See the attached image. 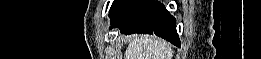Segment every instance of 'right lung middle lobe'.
<instances>
[{
    "label": "right lung middle lobe",
    "instance_id": "dd1d6c3e",
    "mask_svg": "<svg viewBox=\"0 0 261 59\" xmlns=\"http://www.w3.org/2000/svg\"><path fill=\"white\" fill-rule=\"evenodd\" d=\"M123 2L124 0H115L111 6L110 13L116 10Z\"/></svg>",
    "mask_w": 261,
    "mask_h": 59
}]
</instances>
